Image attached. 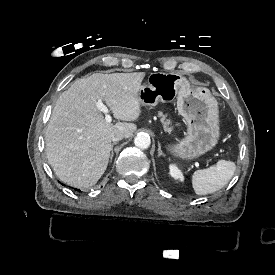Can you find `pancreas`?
<instances>
[{
    "label": "pancreas",
    "instance_id": "cf45deb5",
    "mask_svg": "<svg viewBox=\"0 0 275 275\" xmlns=\"http://www.w3.org/2000/svg\"><path fill=\"white\" fill-rule=\"evenodd\" d=\"M157 116L160 117V121L163 124L164 131L170 134L173 130V126H171V120L167 119V114H164L162 111H158Z\"/></svg>",
    "mask_w": 275,
    "mask_h": 275
}]
</instances>
